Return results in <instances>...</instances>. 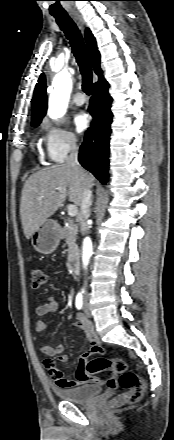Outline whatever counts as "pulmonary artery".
Returning a JSON list of instances; mask_svg holds the SVG:
<instances>
[{"instance_id":"pulmonary-artery-1","label":"pulmonary artery","mask_w":174,"mask_h":440,"mask_svg":"<svg viewBox=\"0 0 174 440\" xmlns=\"http://www.w3.org/2000/svg\"><path fill=\"white\" fill-rule=\"evenodd\" d=\"M85 97L82 93H76L73 97L74 104L81 106L85 103Z\"/></svg>"}]
</instances>
